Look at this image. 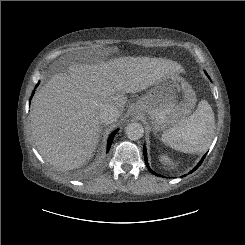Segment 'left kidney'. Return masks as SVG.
Segmentation results:
<instances>
[{
	"label": "left kidney",
	"mask_w": 245,
	"mask_h": 245,
	"mask_svg": "<svg viewBox=\"0 0 245 245\" xmlns=\"http://www.w3.org/2000/svg\"><path fill=\"white\" fill-rule=\"evenodd\" d=\"M165 161H167L168 159L167 158H163Z\"/></svg>",
	"instance_id": "obj_1"
}]
</instances>
